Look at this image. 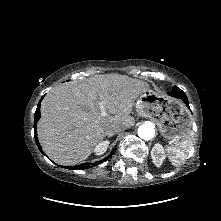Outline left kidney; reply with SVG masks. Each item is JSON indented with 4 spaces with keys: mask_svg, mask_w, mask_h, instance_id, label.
Segmentation results:
<instances>
[{
    "mask_svg": "<svg viewBox=\"0 0 221 221\" xmlns=\"http://www.w3.org/2000/svg\"><path fill=\"white\" fill-rule=\"evenodd\" d=\"M151 157L153 160V163L157 166L160 167L165 160V152L164 148L161 144L157 143L154 145V147L151 150Z\"/></svg>",
    "mask_w": 221,
    "mask_h": 221,
    "instance_id": "left-kidney-1",
    "label": "left kidney"
}]
</instances>
